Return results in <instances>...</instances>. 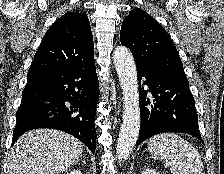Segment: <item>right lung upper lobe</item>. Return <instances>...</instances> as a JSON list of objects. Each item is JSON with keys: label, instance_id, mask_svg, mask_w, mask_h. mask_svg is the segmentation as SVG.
Segmentation results:
<instances>
[{"label": "right lung upper lobe", "instance_id": "1", "mask_svg": "<svg viewBox=\"0 0 224 174\" xmlns=\"http://www.w3.org/2000/svg\"><path fill=\"white\" fill-rule=\"evenodd\" d=\"M93 60V36L86 13L67 12L44 35L27 77L82 66Z\"/></svg>", "mask_w": 224, "mask_h": 174}]
</instances>
